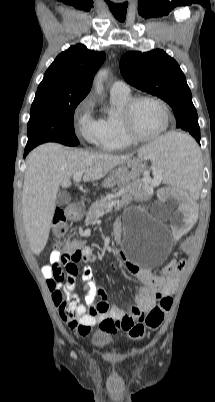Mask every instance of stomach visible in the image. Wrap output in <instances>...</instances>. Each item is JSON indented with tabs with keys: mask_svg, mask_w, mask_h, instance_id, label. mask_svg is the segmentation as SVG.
I'll return each mask as SVG.
<instances>
[{
	"mask_svg": "<svg viewBox=\"0 0 215 402\" xmlns=\"http://www.w3.org/2000/svg\"><path fill=\"white\" fill-rule=\"evenodd\" d=\"M146 169L142 158L129 156L122 161L112 174L103 182L104 187H112L116 183L120 186L127 185L139 180Z\"/></svg>",
	"mask_w": 215,
	"mask_h": 402,
	"instance_id": "0dacf381",
	"label": "stomach"
}]
</instances>
